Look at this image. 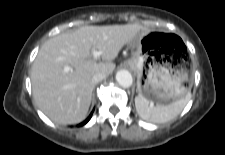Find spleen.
Listing matches in <instances>:
<instances>
[{
	"mask_svg": "<svg viewBox=\"0 0 225 155\" xmlns=\"http://www.w3.org/2000/svg\"><path fill=\"white\" fill-rule=\"evenodd\" d=\"M191 93L188 92L184 98L167 105L154 106L153 103L141 96L135 98V107L139 116L149 122L164 123L178 116L190 100Z\"/></svg>",
	"mask_w": 225,
	"mask_h": 155,
	"instance_id": "spleen-1",
	"label": "spleen"
}]
</instances>
